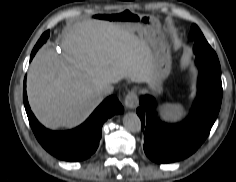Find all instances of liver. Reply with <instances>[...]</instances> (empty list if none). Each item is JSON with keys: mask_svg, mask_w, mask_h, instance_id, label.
Masks as SVG:
<instances>
[{"mask_svg": "<svg viewBox=\"0 0 236 182\" xmlns=\"http://www.w3.org/2000/svg\"><path fill=\"white\" fill-rule=\"evenodd\" d=\"M57 55L48 46L34 57L27 77L32 111L50 128L73 127L101 103V87L123 78L149 82L154 58L148 44L128 28L105 20L75 23L63 32Z\"/></svg>", "mask_w": 236, "mask_h": 182, "instance_id": "liver-1", "label": "liver"}]
</instances>
